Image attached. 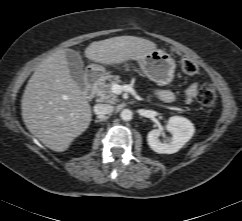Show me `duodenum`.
<instances>
[{
	"instance_id": "410a0bca",
	"label": "duodenum",
	"mask_w": 242,
	"mask_h": 221,
	"mask_svg": "<svg viewBox=\"0 0 242 221\" xmlns=\"http://www.w3.org/2000/svg\"><path fill=\"white\" fill-rule=\"evenodd\" d=\"M100 79V72L91 69L87 73V79H86V90H85V97L86 98H92L95 94V85L97 81Z\"/></svg>"
}]
</instances>
